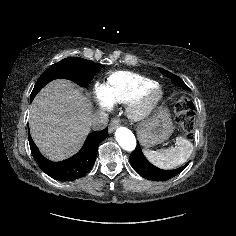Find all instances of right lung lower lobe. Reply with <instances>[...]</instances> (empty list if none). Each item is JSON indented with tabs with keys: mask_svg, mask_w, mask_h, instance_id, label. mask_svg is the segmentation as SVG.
<instances>
[{
	"mask_svg": "<svg viewBox=\"0 0 236 236\" xmlns=\"http://www.w3.org/2000/svg\"><path fill=\"white\" fill-rule=\"evenodd\" d=\"M108 128L90 133L81 150L62 162L46 159L38 150L29 134L31 153L38 166L49 176L59 181H73L84 176L94 165L99 144L106 139Z\"/></svg>",
	"mask_w": 236,
	"mask_h": 236,
	"instance_id": "right-lung-lower-lobe-1",
	"label": "right lung lower lobe"
}]
</instances>
